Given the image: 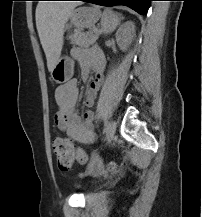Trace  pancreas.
<instances>
[{
	"mask_svg": "<svg viewBox=\"0 0 202 217\" xmlns=\"http://www.w3.org/2000/svg\"><path fill=\"white\" fill-rule=\"evenodd\" d=\"M99 33L96 31H89L83 33L79 30H76L74 34H72L69 39L71 40L72 44L81 46V47H89L90 45L94 44L98 39Z\"/></svg>",
	"mask_w": 202,
	"mask_h": 217,
	"instance_id": "obj_1",
	"label": "pancreas"
}]
</instances>
